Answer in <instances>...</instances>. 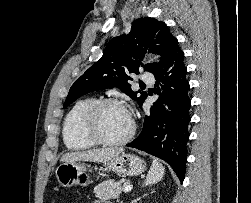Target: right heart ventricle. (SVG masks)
I'll return each mask as SVG.
<instances>
[{
  "label": "right heart ventricle",
  "mask_w": 251,
  "mask_h": 203,
  "mask_svg": "<svg viewBox=\"0 0 251 203\" xmlns=\"http://www.w3.org/2000/svg\"><path fill=\"white\" fill-rule=\"evenodd\" d=\"M95 102L94 98L77 101L67 112L63 125V141L68 149L86 150L95 145L83 132L82 121L86 110Z\"/></svg>",
  "instance_id": "1"
}]
</instances>
